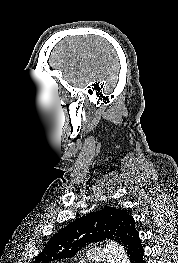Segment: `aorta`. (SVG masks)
Segmentation results:
<instances>
[{"mask_svg": "<svg viewBox=\"0 0 178 263\" xmlns=\"http://www.w3.org/2000/svg\"><path fill=\"white\" fill-rule=\"evenodd\" d=\"M105 251L109 263H130L124 248L114 241H107Z\"/></svg>", "mask_w": 178, "mask_h": 263, "instance_id": "aorta-1", "label": "aorta"}]
</instances>
